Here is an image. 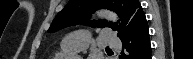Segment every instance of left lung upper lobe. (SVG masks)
<instances>
[{
  "mask_svg": "<svg viewBox=\"0 0 193 59\" xmlns=\"http://www.w3.org/2000/svg\"><path fill=\"white\" fill-rule=\"evenodd\" d=\"M98 8L115 11L121 19V24L102 21H89V15ZM143 12L138 0H70L53 20L48 32L76 24H87L95 27H110L118 31V37L126 30L136 13Z\"/></svg>",
  "mask_w": 193,
  "mask_h": 59,
  "instance_id": "left-lung-upper-lobe-1",
  "label": "left lung upper lobe"
}]
</instances>
